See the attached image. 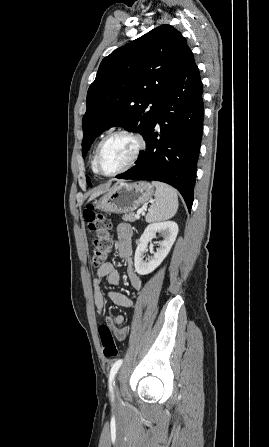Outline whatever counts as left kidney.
Returning a JSON list of instances; mask_svg holds the SVG:
<instances>
[{"instance_id":"5707ae66","label":"left kidney","mask_w":269,"mask_h":447,"mask_svg":"<svg viewBox=\"0 0 269 447\" xmlns=\"http://www.w3.org/2000/svg\"><path fill=\"white\" fill-rule=\"evenodd\" d=\"M162 233L164 239L160 241V247H157V251H152V255L144 259V253L147 249L148 241H151L155 237V233ZM178 233V225L176 222H159V224L147 225L144 233H142L139 243L136 247L134 263L137 273L140 275H146L151 273L153 269H156L163 261L164 257L168 255Z\"/></svg>"}]
</instances>
